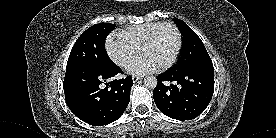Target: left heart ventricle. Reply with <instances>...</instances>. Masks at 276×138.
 Returning <instances> with one entry per match:
<instances>
[{
    "label": "left heart ventricle",
    "mask_w": 276,
    "mask_h": 138,
    "mask_svg": "<svg viewBox=\"0 0 276 138\" xmlns=\"http://www.w3.org/2000/svg\"><path fill=\"white\" fill-rule=\"evenodd\" d=\"M176 46L177 38L174 30L165 28L151 45L142 50V55L150 56L162 66L172 58Z\"/></svg>",
    "instance_id": "1"
}]
</instances>
